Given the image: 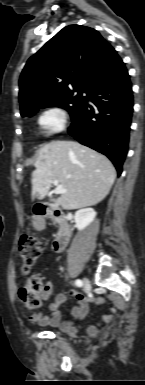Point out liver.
<instances>
[{
  "label": "liver",
  "mask_w": 145,
  "mask_h": 385,
  "mask_svg": "<svg viewBox=\"0 0 145 385\" xmlns=\"http://www.w3.org/2000/svg\"><path fill=\"white\" fill-rule=\"evenodd\" d=\"M32 172V197L43 199L57 179L66 190L58 198L65 210L101 202L110 192L116 171L104 155L73 141H54L38 151Z\"/></svg>",
  "instance_id": "6515ba94"
}]
</instances>
